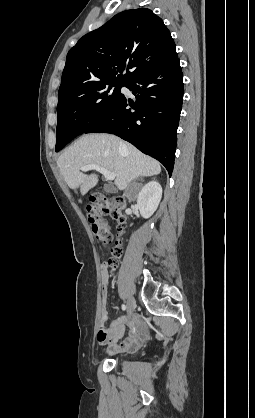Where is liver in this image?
<instances>
[{"label": "liver", "mask_w": 255, "mask_h": 418, "mask_svg": "<svg viewBox=\"0 0 255 418\" xmlns=\"http://www.w3.org/2000/svg\"><path fill=\"white\" fill-rule=\"evenodd\" d=\"M88 164L113 172L119 190H125L139 176L150 177L161 172L158 161L110 134L83 135L58 158L57 165L65 182L73 190L80 188L82 195L98 183L97 174L80 172V168Z\"/></svg>", "instance_id": "obj_1"}]
</instances>
